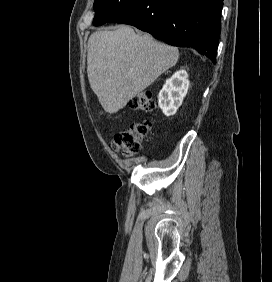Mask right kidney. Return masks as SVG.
<instances>
[{"mask_svg": "<svg viewBox=\"0 0 272 282\" xmlns=\"http://www.w3.org/2000/svg\"><path fill=\"white\" fill-rule=\"evenodd\" d=\"M189 88L188 74L181 69L166 80L158 95V105L166 116L175 115Z\"/></svg>", "mask_w": 272, "mask_h": 282, "instance_id": "obj_1", "label": "right kidney"}]
</instances>
